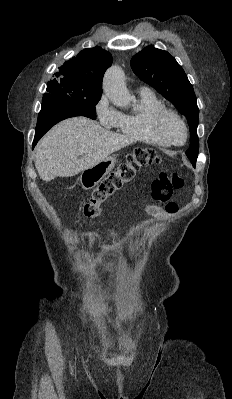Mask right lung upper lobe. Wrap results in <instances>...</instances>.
<instances>
[{"mask_svg": "<svg viewBox=\"0 0 232 399\" xmlns=\"http://www.w3.org/2000/svg\"><path fill=\"white\" fill-rule=\"evenodd\" d=\"M112 64V55L100 47L82 50L76 57L66 61L50 82L71 89L102 92V79Z\"/></svg>", "mask_w": 232, "mask_h": 399, "instance_id": "1", "label": "right lung upper lobe"}]
</instances>
